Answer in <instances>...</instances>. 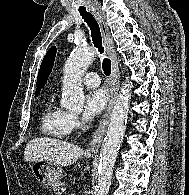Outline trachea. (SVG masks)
I'll use <instances>...</instances> for the list:
<instances>
[{
    "label": "trachea",
    "instance_id": "3493384b",
    "mask_svg": "<svg viewBox=\"0 0 189 195\" xmlns=\"http://www.w3.org/2000/svg\"><path fill=\"white\" fill-rule=\"evenodd\" d=\"M79 12L84 19V21L87 23V25L90 28L91 31V37L93 44L96 48H98V51L102 54L104 52V47L102 46V37L99 25L93 15L89 12H87L86 8L80 7ZM103 72L106 76H109L111 74V61L108 58H104L102 62Z\"/></svg>",
    "mask_w": 189,
    "mask_h": 195
}]
</instances>
